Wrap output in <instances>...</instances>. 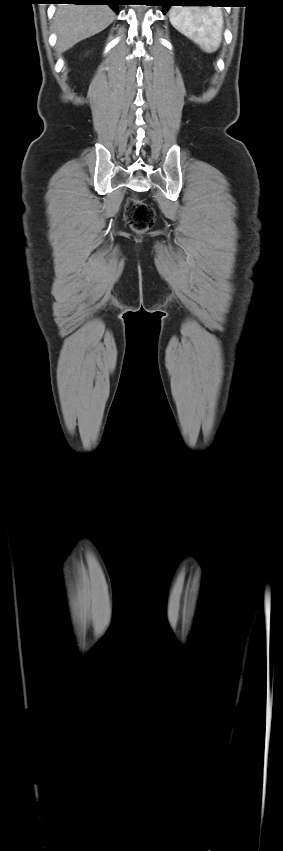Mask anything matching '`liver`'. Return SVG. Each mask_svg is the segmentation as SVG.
<instances>
[{
	"label": "liver",
	"instance_id": "obj_1",
	"mask_svg": "<svg viewBox=\"0 0 283 851\" xmlns=\"http://www.w3.org/2000/svg\"><path fill=\"white\" fill-rule=\"evenodd\" d=\"M114 19L115 13L107 5L58 6L54 17L58 53L103 31Z\"/></svg>",
	"mask_w": 283,
	"mask_h": 851
}]
</instances>
